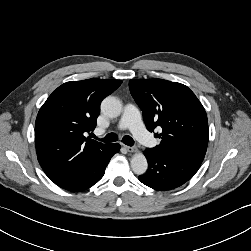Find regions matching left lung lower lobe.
Listing matches in <instances>:
<instances>
[{
    "mask_svg": "<svg viewBox=\"0 0 251 251\" xmlns=\"http://www.w3.org/2000/svg\"><path fill=\"white\" fill-rule=\"evenodd\" d=\"M148 161V171L139 177L140 182L156 190L177 188L191 179L201 165V161L183 155L144 151Z\"/></svg>",
    "mask_w": 251,
    "mask_h": 251,
    "instance_id": "0a47b994",
    "label": "left lung lower lobe"
}]
</instances>
